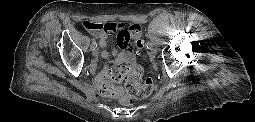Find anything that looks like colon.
<instances>
[{
    "label": "colon",
    "instance_id": "5ec220e1",
    "mask_svg": "<svg viewBox=\"0 0 255 122\" xmlns=\"http://www.w3.org/2000/svg\"><path fill=\"white\" fill-rule=\"evenodd\" d=\"M82 26L85 30L96 33L104 32L111 34L119 32L121 37L130 41L135 47L142 48V30L138 24H117L113 22L101 23L94 21H84ZM125 82L126 93L119 92V87L115 84ZM99 90L102 94L117 96L124 106H131L134 99H141L149 96L154 88V79L148 77L142 79V68L138 65H122L113 62L107 65L98 78Z\"/></svg>",
    "mask_w": 255,
    "mask_h": 122
}]
</instances>
